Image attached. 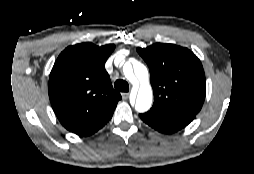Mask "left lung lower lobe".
Masks as SVG:
<instances>
[{
  "label": "left lung lower lobe",
  "mask_w": 254,
  "mask_h": 174,
  "mask_svg": "<svg viewBox=\"0 0 254 174\" xmlns=\"http://www.w3.org/2000/svg\"><path fill=\"white\" fill-rule=\"evenodd\" d=\"M139 116L146 124L166 134L181 130L194 119L191 116L173 114L155 107H152L150 111Z\"/></svg>",
  "instance_id": "obj_1"
}]
</instances>
